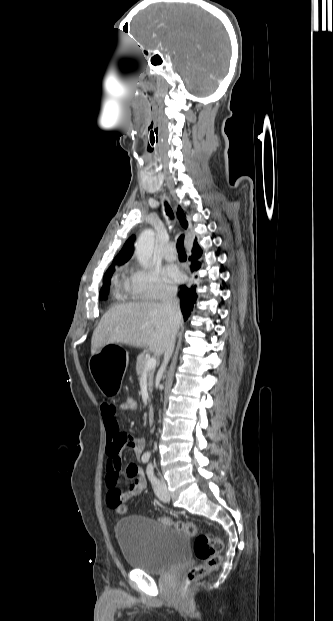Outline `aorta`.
I'll list each match as a JSON object with an SVG mask.
<instances>
[{
	"instance_id": "1",
	"label": "aorta",
	"mask_w": 333,
	"mask_h": 621,
	"mask_svg": "<svg viewBox=\"0 0 333 621\" xmlns=\"http://www.w3.org/2000/svg\"><path fill=\"white\" fill-rule=\"evenodd\" d=\"M155 232L147 229L140 234L135 244V254L142 266H147L154 249Z\"/></svg>"
}]
</instances>
